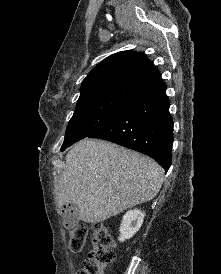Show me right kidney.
<instances>
[{
  "label": "right kidney",
  "instance_id": "1",
  "mask_svg": "<svg viewBox=\"0 0 221 274\" xmlns=\"http://www.w3.org/2000/svg\"><path fill=\"white\" fill-rule=\"evenodd\" d=\"M144 216L145 213L138 209L130 210L123 216L120 225V242H124L126 239L133 237L142 226Z\"/></svg>",
  "mask_w": 221,
  "mask_h": 274
}]
</instances>
